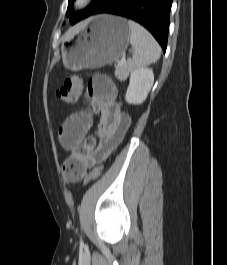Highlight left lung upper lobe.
<instances>
[{"mask_svg": "<svg viewBox=\"0 0 227 265\" xmlns=\"http://www.w3.org/2000/svg\"><path fill=\"white\" fill-rule=\"evenodd\" d=\"M75 0H69L68 10L66 15L70 17V23L75 24L76 22L90 16L97 8H99L106 0H93L92 3L83 11L73 13L72 4Z\"/></svg>", "mask_w": 227, "mask_h": 265, "instance_id": "1", "label": "left lung upper lobe"}]
</instances>
